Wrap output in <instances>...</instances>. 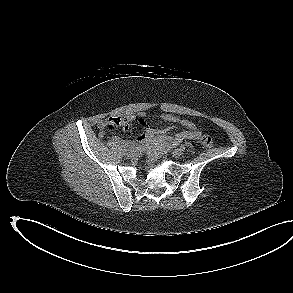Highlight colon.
<instances>
[{
  "mask_svg": "<svg viewBox=\"0 0 293 293\" xmlns=\"http://www.w3.org/2000/svg\"><path fill=\"white\" fill-rule=\"evenodd\" d=\"M115 126L113 124L108 126V129H113ZM201 142L206 148H211L213 146V139L209 135H203L201 137ZM172 145L167 143L155 149L149 151V160L151 162L155 161L162 155L168 153L172 149Z\"/></svg>",
  "mask_w": 293,
  "mask_h": 293,
  "instance_id": "colon-1",
  "label": "colon"
}]
</instances>
